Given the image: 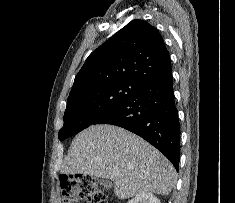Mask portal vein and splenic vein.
<instances>
[{"instance_id": "1", "label": "portal vein and splenic vein", "mask_w": 235, "mask_h": 203, "mask_svg": "<svg viewBox=\"0 0 235 203\" xmlns=\"http://www.w3.org/2000/svg\"><path fill=\"white\" fill-rule=\"evenodd\" d=\"M115 175H119V171H116V172H115Z\"/></svg>"}]
</instances>
